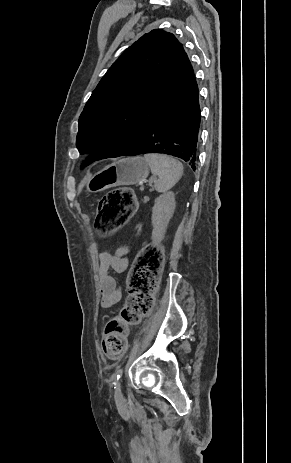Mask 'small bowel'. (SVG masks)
Here are the masks:
<instances>
[{
  "instance_id": "c3829d8e",
  "label": "small bowel",
  "mask_w": 291,
  "mask_h": 463,
  "mask_svg": "<svg viewBox=\"0 0 291 463\" xmlns=\"http://www.w3.org/2000/svg\"><path fill=\"white\" fill-rule=\"evenodd\" d=\"M128 247L121 246L115 253L102 252L97 267V284L100 292V306L111 308L123 298V287L118 284L110 271L123 273L128 267Z\"/></svg>"
}]
</instances>
